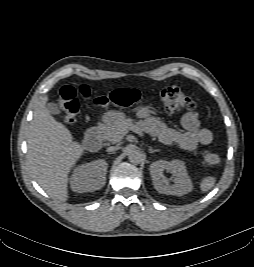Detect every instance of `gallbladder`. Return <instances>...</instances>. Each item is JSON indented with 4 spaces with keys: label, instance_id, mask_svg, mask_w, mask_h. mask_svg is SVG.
<instances>
[{
    "label": "gallbladder",
    "instance_id": "1",
    "mask_svg": "<svg viewBox=\"0 0 254 267\" xmlns=\"http://www.w3.org/2000/svg\"><path fill=\"white\" fill-rule=\"evenodd\" d=\"M47 109L53 115H58L61 113L60 108L58 107L56 103H48Z\"/></svg>",
    "mask_w": 254,
    "mask_h": 267
}]
</instances>
